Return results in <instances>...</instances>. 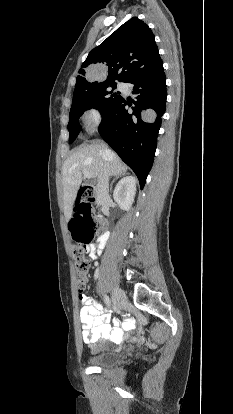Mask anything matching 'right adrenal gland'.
Instances as JSON below:
<instances>
[{
  "label": "right adrenal gland",
  "mask_w": 233,
  "mask_h": 414,
  "mask_svg": "<svg viewBox=\"0 0 233 414\" xmlns=\"http://www.w3.org/2000/svg\"><path fill=\"white\" fill-rule=\"evenodd\" d=\"M126 173H122V174H119V175H116L115 176V178L112 180V182H111V184H110V191L112 190V186H113V183L115 182V180H117L119 177H121V176H124Z\"/></svg>",
  "instance_id": "right-adrenal-gland-1"
}]
</instances>
